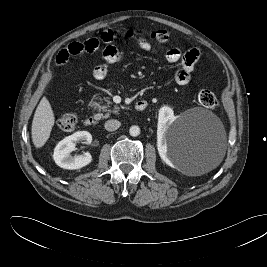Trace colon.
I'll return each mask as SVG.
<instances>
[{
	"mask_svg": "<svg viewBox=\"0 0 267 267\" xmlns=\"http://www.w3.org/2000/svg\"><path fill=\"white\" fill-rule=\"evenodd\" d=\"M150 39L157 45L162 46L168 43L169 35L164 30H158L150 34ZM199 104L206 108H217L219 106V99L215 93L210 90H201L197 95ZM57 124L63 131H72L77 125V117L74 113H66L60 116Z\"/></svg>",
	"mask_w": 267,
	"mask_h": 267,
	"instance_id": "1",
	"label": "colon"
}]
</instances>
